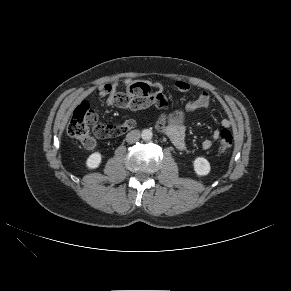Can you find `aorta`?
Segmentation results:
<instances>
[{"mask_svg": "<svg viewBox=\"0 0 291 291\" xmlns=\"http://www.w3.org/2000/svg\"><path fill=\"white\" fill-rule=\"evenodd\" d=\"M152 131L150 129H144L141 133V137L144 141H149L152 139Z\"/></svg>", "mask_w": 291, "mask_h": 291, "instance_id": "obj_1", "label": "aorta"}]
</instances>
